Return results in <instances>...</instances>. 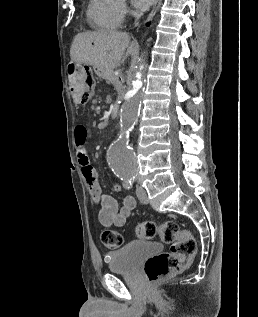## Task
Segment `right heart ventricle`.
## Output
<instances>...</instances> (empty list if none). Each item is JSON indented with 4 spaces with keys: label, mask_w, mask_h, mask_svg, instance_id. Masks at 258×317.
<instances>
[{
    "label": "right heart ventricle",
    "mask_w": 258,
    "mask_h": 317,
    "mask_svg": "<svg viewBox=\"0 0 258 317\" xmlns=\"http://www.w3.org/2000/svg\"><path fill=\"white\" fill-rule=\"evenodd\" d=\"M122 3L123 0H90L86 10L88 22L99 31L117 29L123 19Z\"/></svg>",
    "instance_id": "obj_1"
}]
</instances>
